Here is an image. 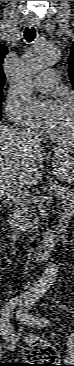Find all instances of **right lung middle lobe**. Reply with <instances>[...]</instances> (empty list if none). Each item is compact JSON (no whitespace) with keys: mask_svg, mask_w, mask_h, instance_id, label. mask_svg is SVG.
I'll use <instances>...</instances> for the list:
<instances>
[{"mask_svg":"<svg viewBox=\"0 0 74 366\" xmlns=\"http://www.w3.org/2000/svg\"><path fill=\"white\" fill-rule=\"evenodd\" d=\"M2 100V91L0 92V101Z\"/></svg>","mask_w":74,"mask_h":366,"instance_id":"dd1d6c3e","label":"right lung middle lobe"}]
</instances>
